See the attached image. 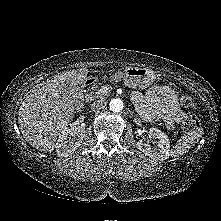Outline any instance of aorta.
Here are the masks:
<instances>
[{
	"label": "aorta",
	"mask_w": 221,
	"mask_h": 221,
	"mask_svg": "<svg viewBox=\"0 0 221 221\" xmlns=\"http://www.w3.org/2000/svg\"><path fill=\"white\" fill-rule=\"evenodd\" d=\"M109 108L112 112H120L123 109V101L119 98L112 99Z\"/></svg>",
	"instance_id": "762f6f07"
}]
</instances>
